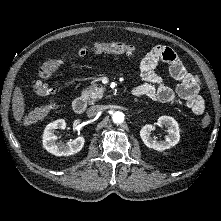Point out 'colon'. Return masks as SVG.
<instances>
[{
	"label": "colon",
	"mask_w": 221,
	"mask_h": 221,
	"mask_svg": "<svg viewBox=\"0 0 221 221\" xmlns=\"http://www.w3.org/2000/svg\"><path fill=\"white\" fill-rule=\"evenodd\" d=\"M136 48L129 43L122 41L111 42H97L92 45L81 47L77 53L85 55L89 52L97 53H115V54H133ZM63 59L60 57H53L48 59L38 70L36 78L33 80L32 89L40 96L49 97V101L37 108L36 110L28 113L24 119V125L34 124L43 119L52 109L55 108L54 96L56 90L46 85L43 81L49 78L62 64ZM212 123V117L205 114L201 119V126L208 129Z\"/></svg>",
	"instance_id": "1"
}]
</instances>
